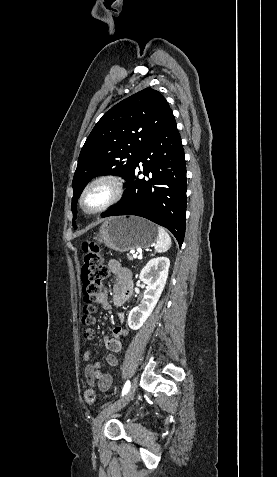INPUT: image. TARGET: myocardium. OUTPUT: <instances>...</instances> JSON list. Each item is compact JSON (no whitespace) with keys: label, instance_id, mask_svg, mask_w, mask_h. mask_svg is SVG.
I'll return each instance as SVG.
<instances>
[{"label":"myocardium","instance_id":"1","mask_svg":"<svg viewBox=\"0 0 277 477\" xmlns=\"http://www.w3.org/2000/svg\"><path fill=\"white\" fill-rule=\"evenodd\" d=\"M99 186L108 187L109 194L100 205L95 208H88L86 206V198L96 187ZM123 193L124 183L119 176L113 174L99 175L90 180L84 186L78 199V206L82 213L86 215H96L108 210L109 208L117 204L121 200Z\"/></svg>","mask_w":277,"mask_h":477}]
</instances>
